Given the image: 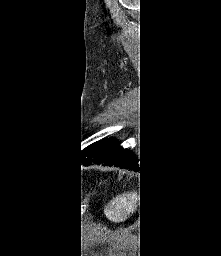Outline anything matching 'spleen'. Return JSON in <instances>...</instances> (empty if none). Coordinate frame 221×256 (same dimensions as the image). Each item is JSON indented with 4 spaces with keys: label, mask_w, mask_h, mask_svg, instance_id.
Instances as JSON below:
<instances>
[{
    "label": "spleen",
    "mask_w": 221,
    "mask_h": 256,
    "mask_svg": "<svg viewBox=\"0 0 221 256\" xmlns=\"http://www.w3.org/2000/svg\"><path fill=\"white\" fill-rule=\"evenodd\" d=\"M138 199L136 190L119 194L105 207L104 213L110 221L123 222L137 210Z\"/></svg>",
    "instance_id": "spleen-1"
}]
</instances>
